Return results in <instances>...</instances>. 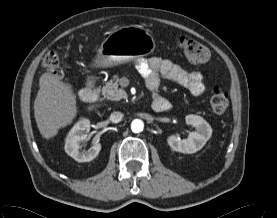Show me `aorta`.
<instances>
[{"label": "aorta", "instance_id": "1", "mask_svg": "<svg viewBox=\"0 0 277 218\" xmlns=\"http://www.w3.org/2000/svg\"><path fill=\"white\" fill-rule=\"evenodd\" d=\"M144 129V123L140 119H135L131 123V130L134 133L142 132Z\"/></svg>", "mask_w": 277, "mask_h": 218}]
</instances>
